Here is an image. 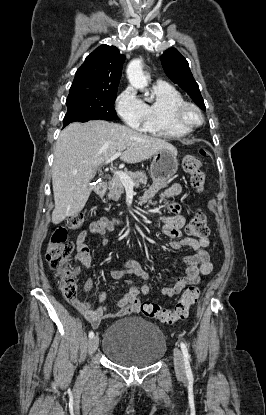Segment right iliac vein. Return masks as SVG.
<instances>
[{
	"label": "right iliac vein",
	"instance_id": "right-iliac-vein-1",
	"mask_svg": "<svg viewBox=\"0 0 266 415\" xmlns=\"http://www.w3.org/2000/svg\"><path fill=\"white\" fill-rule=\"evenodd\" d=\"M98 344H99V338H98V336L96 335V336H93L91 339H90V341H89V353L90 354H93L95 351H96V349H97V347H98Z\"/></svg>",
	"mask_w": 266,
	"mask_h": 415
}]
</instances>
